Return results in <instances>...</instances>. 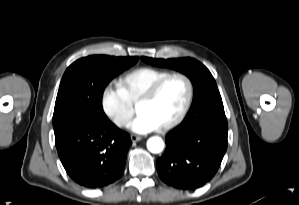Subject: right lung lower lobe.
<instances>
[{"mask_svg": "<svg viewBox=\"0 0 299 205\" xmlns=\"http://www.w3.org/2000/svg\"><path fill=\"white\" fill-rule=\"evenodd\" d=\"M55 142L67 174L87 188H102L116 182L124 171L131 140L129 134L108 118L85 117L58 134Z\"/></svg>", "mask_w": 299, "mask_h": 205, "instance_id": "right-lung-lower-lobe-1", "label": "right lung lower lobe"}]
</instances>
